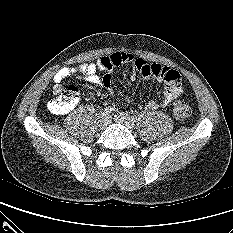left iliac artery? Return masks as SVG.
I'll return each instance as SVG.
<instances>
[{
  "instance_id": "44dca946",
  "label": "left iliac artery",
  "mask_w": 233,
  "mask_h": 233,
  "mask_svg": "<svg viewBox=\"0 0 233 233\" xmlns=\"http://www.w3.org/2000/svg\"><path fill=\"white\" fill-rule=\"evenodd\" d=\"M131 119H132L133 122H136L137 117L136 116H132Z\"/></svg>"
}]
</instances>
